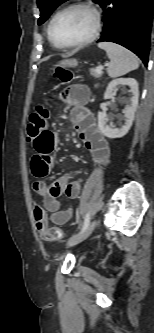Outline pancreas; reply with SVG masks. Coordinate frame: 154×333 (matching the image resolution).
<instances>
[{
	"mask_svg": "<svg viewBox=\"0 0 154 333\" xmlns=\"http://www.w3.org/2000/svg\"><path fill=\"white\" fill-rule=\"evenodd\" d=\"M90 74H91L93 77H95V78H100L101 75H102V72L99 73V72L97 71V69L92 68V69H90Z\"/></svg>",
	"mask_w": 154,
	"mask_h": 333,
	"instance_id": "1",
	"label": "pancreas"
}]
</instances>
